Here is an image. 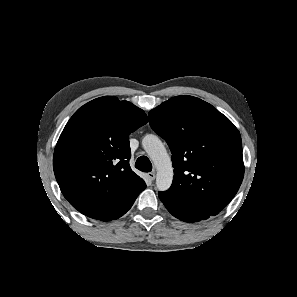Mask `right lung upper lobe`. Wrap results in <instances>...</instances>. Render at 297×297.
<instances>
[{
	"instance_id": "cb5924a9",
	"label": "right lung upper lobe",
	"mask_w": 297,
	"mask_h": 297,
	"mask_svg": "<svg viewBox=\"0 0 297 297\" xmlns=\"http://www.w3.org/2000/svg\"><path fill=\"white\" fill-rule=\"evenodd\" d=\"M147 122L142 109L113 96L94 99L73 114L55 147L53 168L75 209L110 221L145 189L129 165V135Z\"/></svg>"
}]
</instances>
